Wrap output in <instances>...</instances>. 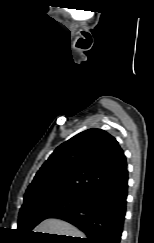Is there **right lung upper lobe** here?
I'll return each mask as SVG.
<instances>
[{
    "label": "right lung upper lobe",
    "instance_id": "cb5924a9",
    "mask_svg": "<svg viewBox=\"0 0 154 243\" xmlns=\"http://www.w3.org/2000/svg\"><path fill=\"white\" fill-rule=\"evenodd\" d=\"M126 170L116 139L104 130L89 129L56 148L27 188L24 203L56 195L88 198Z\"/></svg>",
    "mask_w": 154,
    "mask_h": 243
}]
</instances>
